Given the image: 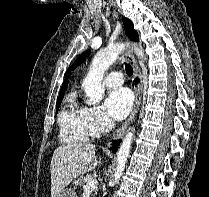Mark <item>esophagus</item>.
<instances>
[{
  "label": "esophagus",
  "mask_w": 209,
  "mask_h": 197,
  "mask_svg": "<svg viewBox=\"0 0 209 197\" xmlns=\"http://www.w3.org/2000/svg\"><path fill=\"white\" fill-rule=\"evenodd\" d=\"M125 56L127 57L128 61L132 65L134 69V74H135V83H134V91H135V101L134 105L132 108V111L128 117V119L115 131L113 137L115 139L121 137L126 129L130 126V124L135 120V117L138 113L139 106L141 103L142 99V87H141V82H140V68L138 66V63L134 57V55L131 53L129 49L125 50Z\"/></svg>",
  "instance_id": "obj_1"
}]
</instances>
